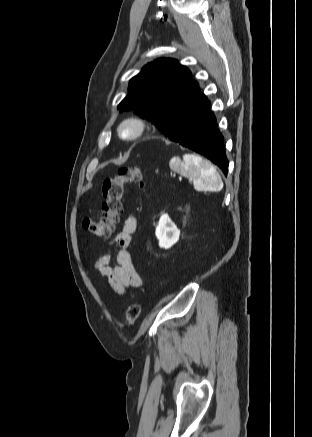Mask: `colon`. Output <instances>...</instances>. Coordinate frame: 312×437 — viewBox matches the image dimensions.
I'll use <instances>...</instances> for the list:
<instances>
[{
  "instance_id": "colon-1",
  "label": "colon",
  "mask_w": 312,
  "mask_h": 437,
  "mask_svg": "<svg viewBox=\"0 0 312 437\" xmlns=\"http://www.w3.org/2000/svg\"><path fill=\"white\" fill-rule=\"evenodd\" d=\"M126 184H137L145 187L146 181L139 167H122L117 175L107 178L102 184V214L99 220L86 218L84 228L92 235L100 238H109L115 231L122 213V198ZM141 307L137 303L130 304L125 312V324L132 326L140 315Z\"/></svg>"
}]
</instances>
